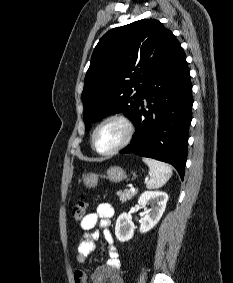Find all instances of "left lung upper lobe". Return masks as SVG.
Returning a JSON list of instances; mask_svg holds the SVG:
<instances>
[{
  "instance_id": "left-lung-upper-lobe-1",
  "label": "left lung upper lobe",
  "mask_w": 233,
  "mask_h": 283,
  "mask_svg": "<svg viewBox=\"0 0 233 283\" xmlns=\"http://www.w3.org/2000/svg\"><path fill=\"white\" fill-rule=\"evenodd\" d=\"M176 43L172 32L155 19L138 20L108 31L94 49L84 81L85 129L119 112L132 120L147 80Z\"/></svg>"
}]
</instances>
